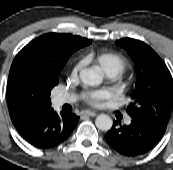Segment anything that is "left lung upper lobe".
<instances>
[{
  "instance_id": "1",
  "label": "left lung upper lobe",
  "mask_w": 173,
  "mask_h": 170,
  "mask_svg": "<svg viewBox=\"0 0 173 170\" xmlns=\"http://www.w3.org/2000/svg\"><path fill=\"white\" fill-rule=\"evenodd\" d=\"M116 44L130 54L137 72L136 87L127 113L166 129L173 107V81L166 64L144 42L124 38L117 40Z\"/></svg>"
}]
</instances>
